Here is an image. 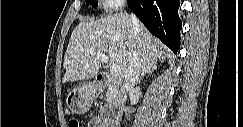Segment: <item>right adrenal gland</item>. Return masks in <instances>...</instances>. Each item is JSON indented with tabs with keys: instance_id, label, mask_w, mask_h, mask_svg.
I'll return each mask as SVG.
<instances>
[{
	"instance_id": "1",
	"label": "right adrenal gland",
	"mask_w": 243,
	"mask_h": 127,
	"mask_svg": "<svg viewBox=\"0 0 243 127\" xmlns=\"http://www.w3.org/2000/svg\"><path fill=\"white\" fill-rule=\"evenodd\" d=\"M156 69H157V67H156V65H154V64H151V65H148L147 67H145V68L142 70V72H141V76H140V78H139V80H138V83L141 82V80L143 79V77H144L146 74H152V73L154 72V70H156Z\"/></svg>"
}]
</instances>
